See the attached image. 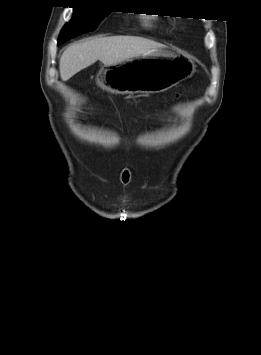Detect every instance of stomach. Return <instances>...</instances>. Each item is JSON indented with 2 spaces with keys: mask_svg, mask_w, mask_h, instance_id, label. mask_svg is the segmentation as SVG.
<instances>
[{
  "mask_svg": "<svg viewBox=\"0 0 261 355\" xmlns=\"http://www.w3.org/2000/svg\"><path fill=\"white\" fill-rule=\"evenodd\" d=\"M195 68L190 56L163 46L101 68L96 81L103 90L115 94L157 93L190 77Z\"/></svg>",
  "mask_w": 261,
  "mask_h": 355,
  "instance_id": "0dacf381",
  "label": "stomach"
}]
</instances>
